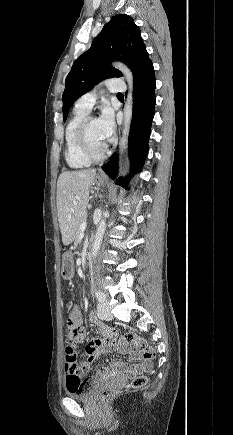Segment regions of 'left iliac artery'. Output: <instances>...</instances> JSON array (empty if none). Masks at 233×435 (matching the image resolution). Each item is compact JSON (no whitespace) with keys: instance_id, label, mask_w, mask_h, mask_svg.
Returning <instances> with one entry per match:
<instances>
[{"instance_id":"obj_1","label":"left iliac artery","mask_w":233,"mask_h":435,"mask_svg":"<svg viewBox=\"0 0 233 435\" xmlns=\"http://www.w3.org/2000/svg\"><path fill=\"white\" fill-rule=\"evenodd\" d=\"M95 295L99 302H103L105 300V295L100 291H95Z\"/></svg>"}]
</instances>
